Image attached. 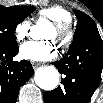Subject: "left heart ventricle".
I'll return each mask as SVG.
<instances>
[{"mask_svg":"<svg viewBox=\"0 0 103 103\" xmlns=\"http://www.w3.org/2000/svg\"><path fill=\"white\" fill-rule=\"evenodd\" d=\"M45 39L57 41L58 33L53 26L50 27L47 33L45 34Z\"/></svg>","mask_w":103,"mask_h":103,"instance_id":"left-heart-ventricle-1","label":"left heart ventricle"}]
</instances>
